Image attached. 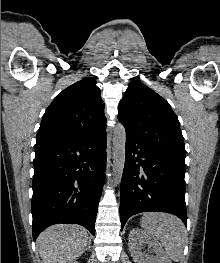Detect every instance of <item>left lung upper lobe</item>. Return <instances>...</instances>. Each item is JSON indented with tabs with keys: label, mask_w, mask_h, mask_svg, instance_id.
<instances>
[{
	"label": "left lung upper lobe",
	"mask_w": 220,
	"mask_h": 263,
	"mask_svg": "<svg viewBox=\"0 0 220 263\" xmlns=\"http://www.w3.org/2000/svg\"><path fill=\"white\" fill-rule=\"evenodd\" d=\"M126 135L185 160L180 123L169 103L139 80L130 82L119 104Z\"/></svg>",
	"instance_id": "1"
}]
</instances>
